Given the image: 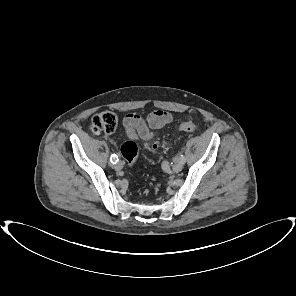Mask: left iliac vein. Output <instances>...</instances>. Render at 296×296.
Segmentation results:
<instances>
[{"instance_id": "4c4485c4", "label": "left iliac vein", "mask_w": 296, "mask_h": 296, "mask_svg": "<svg viewBox=\"0 0 296 296\" xmlns=\"http://www.w3.org/2000/svg\"><path fill=\"white\" fill-rule=\"evenodd\" d=\"M182 168H183V163L180 160L176 161L172 167L174 172H179L182 170Z\"/></svg>"}]
</instances>
